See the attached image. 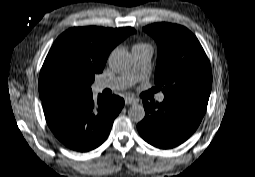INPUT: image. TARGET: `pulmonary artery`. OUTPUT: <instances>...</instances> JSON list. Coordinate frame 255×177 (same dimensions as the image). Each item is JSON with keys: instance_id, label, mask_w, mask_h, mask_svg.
Returning <instances> with one entry per match:
<instances>
[{"instance_id": "pulmonary-artery-1", "label": "pulmonary artery", "mask_w": 255, "mask_h": 177, "mask_svg": "<svg viewBox=\"0 0 255 177\" xmlns=\"http://www.w3.org/2000/svg\"><path fill=\"white\" fill-rule=\"evenodd\" d=\"M132 53H133V58L135 61V66L133 71L127 72L117 78L105 79V80H102L101 82H98L96 84V89L98 91H102L106 88L113 89V90L127 88L134 83L135 81V79L133 78L134 74L141 76L149 71L150 64H151V56H152L151 47H146L143 49H134L132 50ZM157 100L158 102H162L164 100V94L161 93L158 96Z\"/></svg>"}]
</instances>
